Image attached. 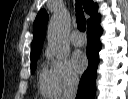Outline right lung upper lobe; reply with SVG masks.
I'll return each mask as SVG.
<instances>
[{
	"label": "right lung upper lobe",
	"mask_w": 128,
	"mask_h": 99,
	"mask_svg": "<svg viewBox=\"0 0 128 99\" xmlns=\"http://www.w3.org/2000/svg\"><path fill=\"white\" fill-rule=\"evenodd\" d=\"M82 4L84 6L85 12L90 15V19L88 20V22L98 15L97 13L98 6L97 4L93 3L92 0H82ZM47 22H48V14L44 9L40 10L37 14V17L33 25V41L31 45V57L40 55L42 44L45 39Z\"/></svg>",
	"instance_id": "obj_1"
}]
</instances>
